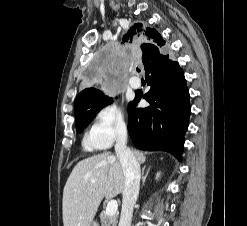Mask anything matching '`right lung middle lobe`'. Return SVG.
Listing matches in <instances>:
<instances>
[{
	"label": "right lung middle lobe",
	"instance_id": "dd1d6c3e",
	"mask_svg": "<svg viewBox=\"0 0 247 226\" xmlns=\"http://www.w3.org/2000/svg\"><path fill=\"white\" fill-rule=\"evenodd\" d=\"M110 103H112V100L107 99L103 96V94H100L91 101L87 102L84 107V112L75 118L77 132L81 133L83 129L93 120L97 112Z\"/></svg>",
	"mask_w": 247,
	"mask_h": 226
}]
</instances>
